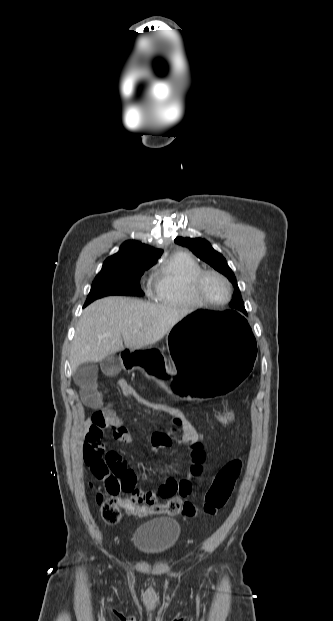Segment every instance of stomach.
<instances>
[{"label":"stomach","mask_w":333,"mask_h":621,"mask_svg":"<svg viewBox=\"0 0 333 621\" xmlns=\"http://www.w3.org/2000/svg\"><path fill=\"white\" fill-rule=\"evenodd\" d=\"M167 343L149 348H127L126 365L143 369L162 393L177 394L179 401L199 399L228 401L241 390L256 362V342L243 316L230 311L197 310L182 314L167 333ZM174 359V363H173ZM172 370L165 371L169 365Z\"/></svg>","instance_id":"0dacf381"}]
</instances>
